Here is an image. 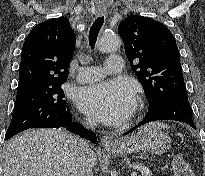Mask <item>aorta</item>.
Masks as SVG:
<instances>
[{
	"instance_id": "762f6f07",
	"label": "aorta",
	"mask_w": 205,
	"mask_h": 176,
	"mask_svg": "<svg viewBox=\"0 0 205 176\" xmlns=\"http://www.w3.org/2000/svg\"><path fill=\"white\" fill-rule=\"evenodd\" d=\"M121 44V40L117 35L107 34L103 36L99 42L98 48L102 52H114Z\"/></svg>"
}]
</instances>
